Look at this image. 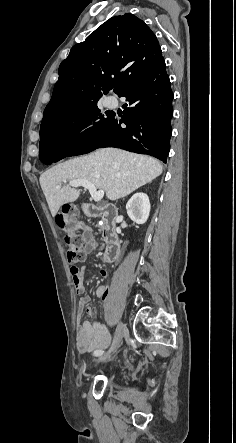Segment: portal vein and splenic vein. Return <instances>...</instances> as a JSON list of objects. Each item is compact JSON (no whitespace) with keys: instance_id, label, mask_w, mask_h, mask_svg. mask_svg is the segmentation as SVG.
<instances>
[{"instance_id":"obj_1","label":"portal vein and splenic vein","mask_w":236,"mask_h":443,"mask_svg":"<svg viewBox=\"0 0 236 443\" xmlns=\"http://www.w3.org/2000/svg\"><path fill=\"white\" fill-rule=\"evenodd\" d=\"M69 185L74 188L82 186L85 189H88L91 197L95 202L101 201L104 196V190L97 191V188L92 183L86 180H73L69 182ZM60 187L61 186L59 185L57 188L59 189Z\"/></svg>"}]
</instances>
